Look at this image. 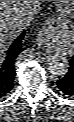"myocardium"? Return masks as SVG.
<instances>
[{
    "mask_svg": "<svg viewBox=\"0 0 74 122\" xmlns=\"http://www.w3.org/2000/svg\"><path fill=\"white\" fill-rule=\"evenodd\" d=\"M64 2V5H63V8L67 11H72L73 8H74V1H63Z\"/></svg>",
    "mask_w": 74,
    "mask_h": 122,
    "instance_id": "f54148a6",
    "label": "myocardium"
}]
</instances>
